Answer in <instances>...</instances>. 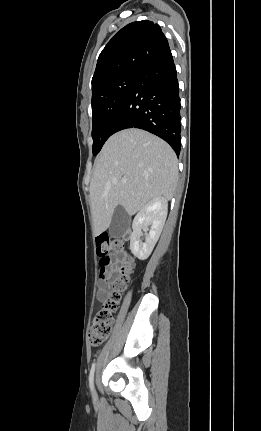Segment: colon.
<instances>
[{"label":"colon","instance_id":"obj_1","mask_svg":"<svg viewBox=\"0 0 261 431\" xmlns=\"http://www.w3.org/2000/svg\"><path fill=\"white\" fill-rule=\"evenodd\" d=\"M97 254L101 271L104 268L115 265L119 272L118 278L114 279L112 290L103 307L94 316L88 339L92 346L101 345L111 332L114 318L113 313L117 310L123 291L126 289L132 271V259L126 255L122 261H117V256L124 251L125 245L122 241L101 234L96 239Z\"/></svg>","mask_w":261,"mask_h":431}]
</instances>
